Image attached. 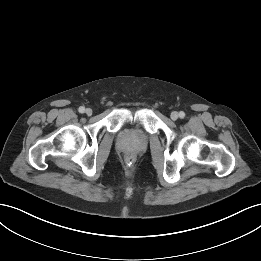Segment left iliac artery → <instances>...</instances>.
I'll return each mask as SVG.
<instances>
[{"instance_id": "44dca946", "label": "left iliac artery", "mask_w": 261, "mask_h": 261, "mask_svg": "<svg viewBox=\"0 0 261 261\" xmlns=\"http://www.w3.org/2000/svg\"><path fill=\"white\" fill-rule=\"evenodd\" d=\"M179 117H180V118H184V117H185V113H184L183 111H180V112H179Z\"/></svg>"}]
</instances>
